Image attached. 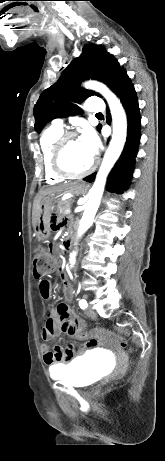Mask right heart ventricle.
Masks as SVG:
<instances>
[{"label": "right heart ventricle", "mask_w": 165, "mask_h": 461, "mask_svg": "<svg viewBox=\"0 0 165 461\" xmlns=\"http://www.w3.org/2000/svg\"><path fill=\"white\" fill-rule=\"evenodd\" d=\"M62 133H63L62 128H58L52 125L43 132L40 138L39 144H40V151H41V156H42V161H43L44 173H45V178L47 182L49 183H58L63 180V176L58 175L57 173L54 172V170L51 167V162H50L52 146L54 142L57 140V138Z\"/></svg>", "instance_id": "right-heart-ventricle-1"}]
</instances>
